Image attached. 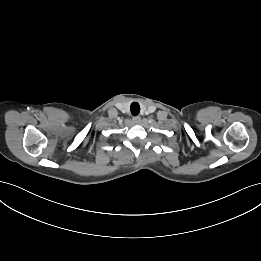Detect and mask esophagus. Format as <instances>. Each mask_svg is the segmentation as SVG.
<instances>
[{"instance_id": "obj_1", "label": "esophagus", "mask_w": 261, "mask_h": 261, "mask_svg": "<svg viewBox=\"0 0 261 261\" xmlns=\"http://www.w3.org/2000/svg\"><path fill=\"white\" fill-rule=\"evenodd\" d=\"M133 122H134L135 124H140V123H141V117H140V116L134 117V118H133Z\"/></svg>"}]
</instances>
